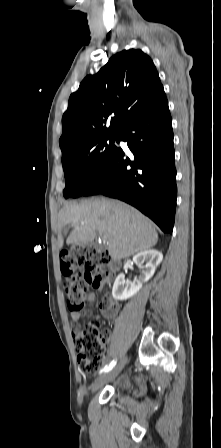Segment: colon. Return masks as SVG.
I'll return each mask as SVG.
<instances>
[{
    "label": "colon",
    "instance_id": "obj_1",
    "mask_svg": "<svg viewBox=\"0 0 221 448\" xmlns=\"http://www.w3.org/2000/svg\"><path fill=\"white\" fill-rule=\"evenodd\" d=\"M110 255L94 244H77L62 252L60 267L66 278L67 306L72 311L83 308L90 287L102 285L109 275ZM101 325L89 321L74 333L78 362L86 374L97 373L104 362L105 336Z\"/></svg>",
    "mask_w": 221,
    "mask_h": 448
}]
</instances>
